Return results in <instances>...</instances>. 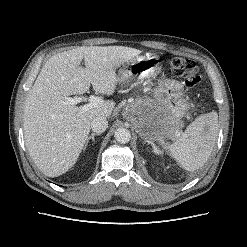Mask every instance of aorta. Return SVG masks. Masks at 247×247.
<instances>
[{
  "label": "aorta",
  "instance_id": "aorta-1",
  "mask_svg": "<svg viewBox=\"0 0 247 247\" xmlns=\"http://www.w3.org/2000/svg\"><path fill=\"white\" fill-rule=\"evenodd\" d=\"M114 137L117 142L126 144L130 141L131 134H130V131L126 128H118L115 131Z\"/></svg>",
  "mask_w": 247,
  "mask_h": 247
}]
</instances>
